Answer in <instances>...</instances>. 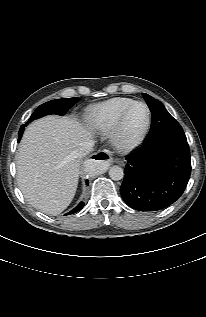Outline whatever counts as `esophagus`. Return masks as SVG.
<instances>
[{"instance_id": "1", "label": "esophagus", "mask_w": 206, "mask_h": 317, "mask_svg": "<svg viewBox=\"0 0 206 317\" xmlns=\"http://www.w3.org/2000/svg\"><path fill=\"white\" fill-rule=\"evenodd\" d=\"M94 162H98L106 167L110 166L113 162V158L111 156V152L109 150L98 151L94 154Z\"/></svg>"}]
</instances>
